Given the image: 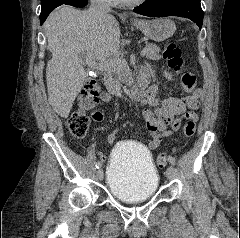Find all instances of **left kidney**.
I'll use <instances>...</instances> for the list:
<instances>
[{
    "label": "left kidney",
    "mask_w": 240,
    "mask_h": 238,
    "mask_svg": "<svg viewBox=\"0 0 240 238\" xmlns=\"http://www.w3.org/2000/svg\"><path fill=\"white\" fill-rule=\"evenodd\" d=\"M164 76L168 79V80H171L172 79V75L168 72H164Z\"/></svg>",
    "instance_id": "1"
}]
</instances>
